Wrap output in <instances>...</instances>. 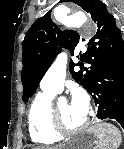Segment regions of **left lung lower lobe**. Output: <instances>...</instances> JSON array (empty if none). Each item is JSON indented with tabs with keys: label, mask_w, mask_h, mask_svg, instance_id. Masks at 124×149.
Returning a JSON list of instances; mask_svg holds the SVG:
<instances>
[{
	"label": "left lung lower lobe",
	"mask_w": 124,
	"mask_h": 149,
	"mask_svg": "<svg viewBox=\"0 0 124 149\" xmlns=\"http://www.w3.org/2000/svg\"><path fill=\"white\" fill-rule=\"evenodd\" d=\"M87 91L91 94L98 119H113L124 129V54L103 64Z\"/></svg>",
	"instance_id": "1"
}]
</instances>
